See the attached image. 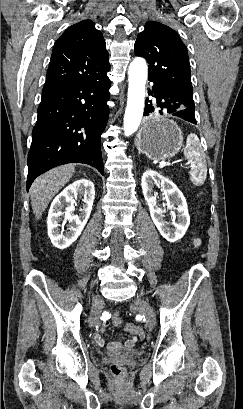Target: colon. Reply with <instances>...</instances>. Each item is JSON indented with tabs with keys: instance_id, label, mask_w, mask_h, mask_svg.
Instances as JSON below:
<instances>
[{
	"instance_id": "obj_1",
	"label": "colon",
	"mask_w": 243,
	"mask_h": 409,
	"mask_svg": "<svg viewBox=\"0 0 243 409\" xmlns=\"http://www.w3.org/2000/svg\"><path fill=\"white\" fill-rule=\"evenodd\" d=\"M112 322L114 325H120L121 324V317L118 312H115L112 315ZM125 330L128 333H132L137 335L140 338H144V331L140 326L134 325V324H127L125 326ZM111 373L115 377H120L123 374V367L117 363H114L110 367Z\"/></svg>"
}]
</instances>
